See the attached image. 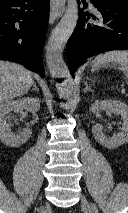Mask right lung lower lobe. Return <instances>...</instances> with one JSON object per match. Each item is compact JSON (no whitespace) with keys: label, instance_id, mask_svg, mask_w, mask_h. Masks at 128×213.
<instances>
[{"label":"right lung lower lobe","instance_id":"obj_1","mask_svg":"<svg viewBox=\"0 0 128 213\" xmlns=\"http://www.w3.org/2000/svg\"><path fill=\"white\" fill-rule=\"evenodd\" d=\"M48 18L49 0H0V58L20 61L43 77Z\"/></svg>","mask_w":128,"mask_h":213}]
</instances>
